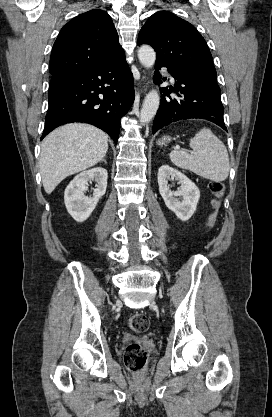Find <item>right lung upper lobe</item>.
<instances>
[{
	"instance_id": "right-lung-upper-lobe-1",
	"label": "right lung upper lobe",
	"mask_w": 272,
	"mask_h": 417,
	"mask_svg": "<svg viewBox=\"0 0 272 417\" xmlns=\"http://www.w3.org/2000/svg\"><path fill=\"white\" fill-rule=\"evenodd\" d=\"M111 17L103 10L78 15L61 29L52 49V76L95 68L123 50Z\"/></svg>"
}]
</instances>
